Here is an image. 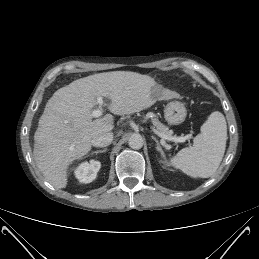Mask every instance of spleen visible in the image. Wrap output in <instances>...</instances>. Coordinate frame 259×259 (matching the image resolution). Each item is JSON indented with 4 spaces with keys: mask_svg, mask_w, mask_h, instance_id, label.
I'll use <instances>...</instances> for the list:
<instances>
[{
    "mask_svg": "<svg viewBox=\"0 0 259 259\" xmlns=\"http://www.w3.org/2000/svg\"><path fill=\"white\" fill-rule=\"evenodd\" d=\"M227 125L219 111L212 112L201 126L191 147L180 150L170 165L193 178H208L218 169L226 149Z\"/></svg>",
    "mask_w": 259,
    "mask_h": 259,
    "instance_id": "1",
    "label": "spleen"
}]
</instances>
